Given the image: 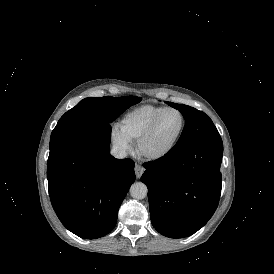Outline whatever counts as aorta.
Returning a JSON list of instances; mask_svg holds the SVG:
<instances>
[{"label":"aorta","mask_w":274,"mask_h":274,"mask_svg":"<svg viewBox=\"0 0 274 274\" xmlns=\"http://www.w3.org/2000/svg\"><path fill=\"white\" fill-rule=\"evenodd\" d=\"M147 186L142 182H135L130 187V195L135 199H143L147 196Z\"/></svg>","instance_id":"1"}]
</instances>
